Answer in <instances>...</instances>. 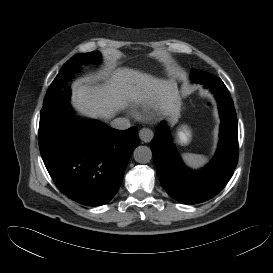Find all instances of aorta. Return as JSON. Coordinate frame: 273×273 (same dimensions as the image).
I'll return each mask as SVG.
<instances>
[{
	"label": "aorta",
	"mask_w": 273,
	"mask_h": 273,
	"mask_svg": "<svg viewBox=\"0 0 273 273\" xmlns=\"http://www.w3.org/2000/svg\"><path fill=\"white\" fill-rule=\"evenodd\" d=\"M133 156L135 161H137L138 163L144 164L151 161L152 152H151V149L147 146H138L134 150Z\"/></svg>",
	"instance_id": "obj_1"
}]
</instances>
